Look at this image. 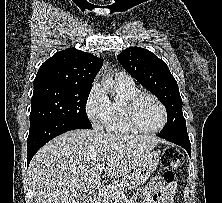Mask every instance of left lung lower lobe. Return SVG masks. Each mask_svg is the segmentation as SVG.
I'll return each instance as SVG.
<instances>
[{
    "mask_svg": "<svg viewBox=\"0 0 222 203\" xmlns=\"http://www.w3.org/2000/svg\"><path fill=\"white\" fill-rule=\"evenodd\" d=\"M157 136L183 147L191 157V144L188 135L158 134Z\"/></svg>",
    "mask_w": 222,
    "mask_h": 203,
    "instance_id": "left-lung-lower-lobe-1",
    "label": "left lung lower lobe"
}]
</instances>
